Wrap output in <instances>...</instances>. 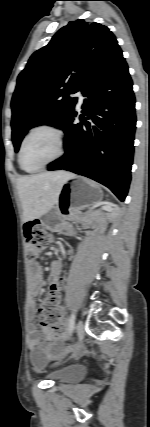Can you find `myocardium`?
Here are the masks:
<instances>
[{
	"label": "myocardium",
	"instance_id": "obj_1",
	"mask_svg": "<svg viewBox=\"0 0 150 427\" xmlns=\"http://www.w3.org/2000/svg\"><path fill=\"white\" fill-rule=\"evenodd\" d=\"M42 131H46V132H50L52 133L56 139H57V143H58V151L56 153V155L51 158L49 161L45 162L44 164H42L41 166H39L36 169L33 170H28L24 167L23 165V161H22V156H23V151L25 148V145L27 143V141L36 133L38 132H42ZM65 147H66V142H65V134L63 132L62 129L56 127V126H52V125H40L37 126L35 128H33L23 139L20 149H19V154H18V161H19V165L20 167L29 173H34V172H38L43 170L44 168H46L48 165L52 164L53 162L57 161L58 159H60L64 153H65Z\"/></svg>",
	"mask_w": 150,
	"mask_h": 427
}]
</instances>
